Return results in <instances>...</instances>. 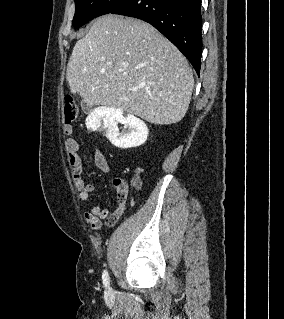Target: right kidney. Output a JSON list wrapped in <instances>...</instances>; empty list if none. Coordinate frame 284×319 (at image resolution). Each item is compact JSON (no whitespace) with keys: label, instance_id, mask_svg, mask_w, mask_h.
I'll return each instance as SVG.
<instances>
[{"label":"right kidney","instance_id":"1","mask_svg":"<svg viewBox=\"0 0 284 319\" xmlns=\"http://www.w3.org/2000/svg\"><path fill=\"white\" fill-rule=\"evenodd\" d=\"M106 129V137L118 148L126 149L138 147L145 143L148 137L146 124L132 114H125L123 110L110 107L95 108L86 118V127L96 131L101 127ZM121 123L127 129L119 132L117 124Z\"/></svg>","mask_w":284,"mask_h":319}]
</instances>
